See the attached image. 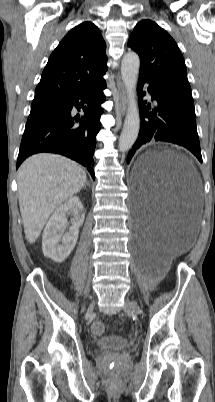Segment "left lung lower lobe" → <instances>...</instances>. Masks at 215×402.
Wrapping results in <instances>:
<instances>
[{
  "label": "left lung lower lobe",
  "instance_id": "0a47b994",
  "mask_svg": "<svg viewBox=\"0 0 215 402\" xmlns=\"http://www.w3.org/2000/svg\"><path fill=\"white\" fill-rule=\"evenodd\" d=\"M145 83L149 84L147 90L152 95V101H155L153 107L150 104L146 106V101L142 99L141 92ZM138 96L141 126L138 138L129 151L127 163L138 148L151 141L172 142L183 146L202 162L194 104L176 97L141 74L138 79Z\"/></svg>",
  "mask_w": 215,
  "mask_h": 402
}]
</instances>
